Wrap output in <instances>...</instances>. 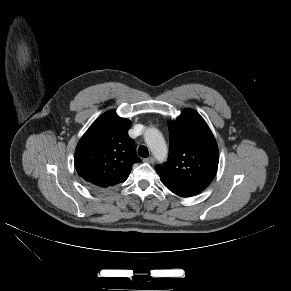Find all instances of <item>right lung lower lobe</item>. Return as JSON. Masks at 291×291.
<instances>
[{
  "mask_svg": "<svg viewBox=\"0 0 291 291\" xmlns=\"http://www.w3.org/2000/svg\"><path fill=\"white\" fill-rule=\"evenodd\" d=\"M87 185L90 187V188H93V189H96L94 186L90 185L87 183Z\"/></svg>",
  "mask_w": 291,
  "mask_h": 291,
  "instance_id": "98d812e1",
  "label": "right lung lower lobe"
}]
</instances>
